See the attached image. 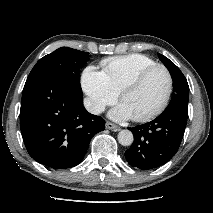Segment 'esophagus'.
<instances>
[{
  "label": "esophagus",
  "instance_id": "1",
  "mask_svg": "<svg viewBox=\"0 0 213 213\" xmlns=\"http://www.w3.org/2000/svg\"><path fill=\"white\" fill-rule=\"evenodd\" d=\"M106 128L113 130V131H119L120 130V128L117 125H115L111 122H106Z\"/></svg>",
  "mask_w": 213,
  "mask_h": 213
}]
</instances>
